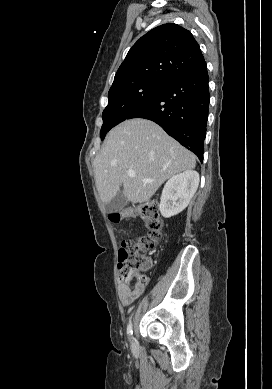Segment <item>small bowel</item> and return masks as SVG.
<instances>
[{
	"instance_id": "c3829d8e",
	"label": "small bowel",
	"mask_w": 272,
	"mask_h": 389,
	"mask_svg": "<svg viewBox=\"0 0 272 389\" xmlns=\"http://www.w3.org/2000/svg\"><path fill=\"white\" fill-rule=\"evenodd\" d=\"M152 266L151 260L147 259L143 265V270H147ZM145 290V285L135 284L129 285L126 283H121L119 285L118 291L122 303L125 306L130 305L135 299H137Z\"/></svg>"
}]
</instances>
